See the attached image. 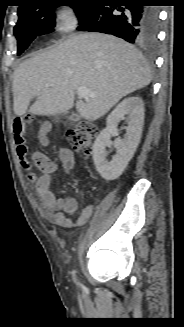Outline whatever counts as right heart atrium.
I'll return each instance as SVG.
<instances>
[{
  "label": "right heart atrium",
  "instance_id": "1",
  "mask_svg": "<svg viewBox=\"0 0 184 327\" xmlns=\"http://www.w3.org/2000/svg\"><path fill=\"white\" fill-rule=\"evenodd\" d=\"M79 25V17L72 10H61L54 17V26L58 31L71 32Z\"/></svg>",
  "mask_w": 184,
  "mask_h": 327
}]
</instances>
